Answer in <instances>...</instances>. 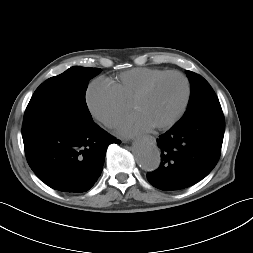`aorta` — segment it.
Wrapping results in <instances>:
<instances>
[{"mask_svg": "<svg viewBox=\"0 0 253 253\" xmlns=\"http://www.w3.org/2000/svg\"><path fill=\"white\" fill-rule=\"evenodd\" d=\"M137 164L145 171H155L161 163L160 150L151 138H142L133 144Z\"/></svg>", "mask_w": 253, "mask_h": 253, "instance_id": "1", "label": "aorta"}]
</instances>
